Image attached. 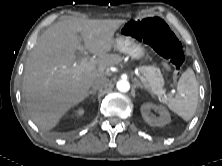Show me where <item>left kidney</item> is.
Here are the masks:
<instances>
[{
    "mask_svg": "<svg viewBox=\"0 0 222 166\" xmlns=\"http://www.w3.org/2000/svg\"><path fill=\"white\" fill-rule=\"evenodd\" d=\"M140 110L143 119L151 126H164L171 121L168 110L163 106H157L152 103H145L141 106ZM151 110L157 112L160 117L157 118L152 115Z\"/></svg>",
    "mask_w": 222,
    "mask_h": 166,
    "instance_id": "left-kidney-1",
    "label": "left kidney"
}]
</instances>
